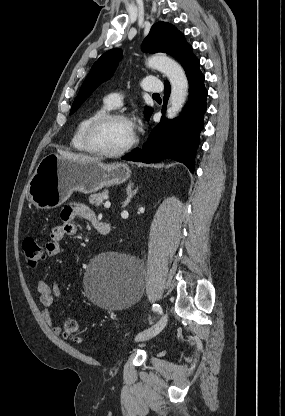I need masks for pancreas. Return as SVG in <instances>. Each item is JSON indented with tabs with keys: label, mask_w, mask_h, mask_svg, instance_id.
I'll return each mask as SVG.
<instances>
[{
	"label": "pancreas",
	"mask_w": 285,
	"mask_h": 416,
	"mask_svg": "<svg viewBox=\"0 0 285 416\" xmlns=\"http://www.w3.org/2000/svg\"><path fill=\"white\" fill-rule=\"evenodd\" d=\"M108 194L109 190H103L101 194H91L89 202L90 204H93V206H101V204H103V200H105Z\"/></svg>",
	"instance_id": "pancreas-1"
}]
</instances>
